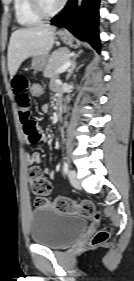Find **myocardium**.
<instances>
[{
  "label": "myocardium",
  "mask_w": 134,
  "mask_h": 281,
  "mask_svg": "<svg viewBox=\"0 0 134 281\" xmlns=\"http://www.w3.org/2000/svg\"><path fill=\"white\" fill-rule=\"evenodd\" d=\"M33 10L41 17H52L56 15L63 7L64 0H60L59 3L52 9H48L43 0H30Z\"/></svg>",
  "instance_id": "1"
}]
</instances>
